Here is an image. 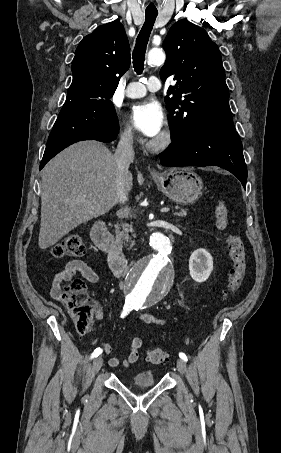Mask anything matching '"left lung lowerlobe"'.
Returning a JSON list of instances; mask_svg holds the SVG:
<instances>
[{
  "label": "left lung lower lobe",
  "mask_w": 281,
  "mask_h": 453,
  "mask_svg": "<svg viewBox=\"0 0 281 453\" xmlns=\"http://www.w3.org/2000/svg\"><path fill=\"white\" fill-rule=\"evenodd\" d=\"M164 166H219L233 173L246 189L247 167L234 124L212 126L180 138L159 155Z\"/></svg>",
  "instance_id": "left-lung-lower-lobe-1"
}]
</instances>
